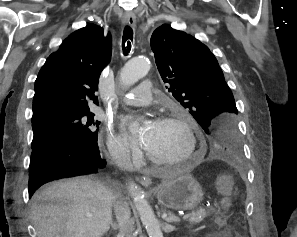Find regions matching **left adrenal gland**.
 <instances>
[{"label": "left adrenal gland", "instance_id": "1", "mask_svg": "<svg viewBox=\"0 0 297 237\" xmlns=\"http://www.w3.org/2000/svg\"><path fill=\"white\" fill-rule=\"evenodd\" d=\"M162 218L166 222H168V223H172V222L177 223V222H180V219L178 217H176L174 214L168 213V215H167L165 211H163Z\"/></svg>", "mask_w": 297, "mask_h": 237}]
</instances>
